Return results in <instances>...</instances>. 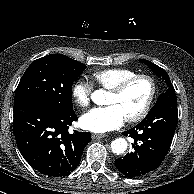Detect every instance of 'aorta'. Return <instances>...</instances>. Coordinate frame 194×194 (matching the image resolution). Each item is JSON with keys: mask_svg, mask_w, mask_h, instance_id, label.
Listing matches in <instances>:
<instances>
[{"mask_svg": "<svg viewBox=\"0 0 194 194\" xmlns=\"http://www.w3.org/2000/svg\"><path fill=\"white\" fill-rule=\"evenodd\" d=\"M104 93L103 90H97L92 94V100L94 103L100 105L103 103L104 100ZM128 147V143L124 138H117L111 142V149L112 152L119 155L126 151Z\"/></svg>", "mask_w": 194, "mask_h": 194, "instance_id": "aorta-1", "label": "aorta"}]
</instances>
